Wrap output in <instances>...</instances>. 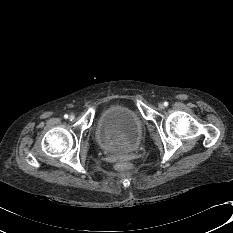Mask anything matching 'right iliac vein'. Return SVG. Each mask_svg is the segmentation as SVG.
<instances>
[{
	"mask_svg": "<svg viewBox=\"0 0 233 233\" xmlns=\"http://www.w3.org/2000/svg\"><path fill=\"white\" fill-rule=\"evenodd\" d=\"M74 118H75L74 114H71V115L69 116V119H70V120H74Z\"/></svg>",
	"mask_w": 233,
	"mask_h": 233,
	"instance_id": "1",
	"label": "right iliac vein"
}]
</instances>
